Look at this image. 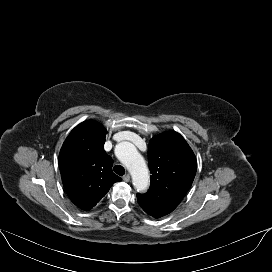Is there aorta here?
<instances>
[{"instance_id":"aorta-1","label":"aorta","mask_w":272,"mask_h":272,"mask_svg":"<svg viewBox=\"0 0 272 272\" xmlns=\"http://www.w3.org/2000/svg\"><path fill=\"white\" fill-rule=\"evenodd\" d=\"M120 148L118 157L130 172L135 189L145 190L149 184V171L144 158L131 143H122Z\"/></svg>"}]
</instances>
